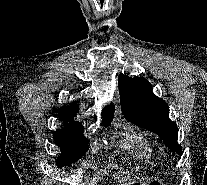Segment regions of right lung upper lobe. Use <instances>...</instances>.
I'll return each mask as SVG.
<instances>
[{
    "label": "right lung upper lobe",
    "mask_w": 207,
    "mask_h": 185,
    "mask_svg": "<svg viewBox=\"0 0 207 185\" xmlns=\"http://www.w3.org/2000/svg\"><path fill=\"white\" fill-rule=\"evenodd\" d=\"M71 107L72 108L63 107L59 111L60 117H64V122H67L68 119H72V117L75 115V113L79 109L78 105L74 102L71 104ZM113 113H114V106H108L104 108V110L102 111L104 126H108L111 123V121L113 120V116H114ZM66 126L83 128V126L79 122L68 123Z\"/></svg>",
    "instance_id": "1"
}]
</instances>
